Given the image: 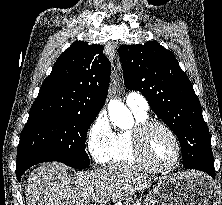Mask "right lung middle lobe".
<instances>
[{"label":"right lung middle lobe","instance_id":"1","mask_svg":"<svg viewBox=\"0 0 222 205\" xmlns=\"http://www.w3.org/2000/svg\"><path fill=\"white\" fill-rule=\"evenodd\" d=\"M96 116L80 113L29 116L20 136L17 159L43 156L76 169L89 167L85 141Z\"/></svg>","mask_w":222,"mask_h":205}]
</instances>
